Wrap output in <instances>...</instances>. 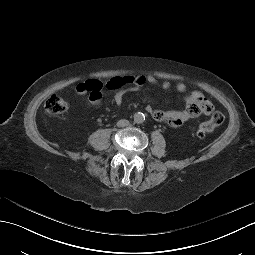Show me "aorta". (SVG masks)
<instances>
[{"label": "aorta", "mask_w": 255, "mask_h": 255, "mask_svg": "<svg viewBox=\"0 0 255 255\" xmlns=\"http://www.w3.org/2000/svg\"><path fill=\"white\" fill-rule=\"evenodd\" d=\"M145 120V115L141 112L135 113L134 114V122L137 124L143 123Z\"/></svg>", "instance_id": "aorta-1"}]
</instances>
